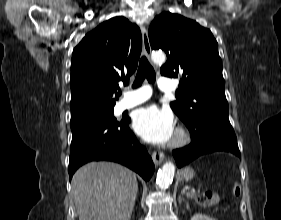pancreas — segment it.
Returning a JSON list of instances; mask_svg holds the SVG:
<instances>
[{
    "label": "pancreas",
    "instance_id": "cf45deb5",
    "mask_svg": "<svg viewBox=\"0 0 281 220\" xmlns=\"http://www.w3.org/2000/svg\"><path fill=\"white\" fill-rule=\"evenodd\" d=\"M187 197H188V198H191V199H196V200H197L198 195H196V194L193 193V192H188V193H187Z\"/></svg>",
    "mask_w": 281,
    "mask_h": 220
}]
</instances>
